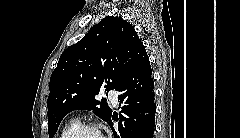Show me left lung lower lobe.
<instances>
[{
    "mask_svg": "<svg viewBox=\"0 0 240 138\" xmlns=\"http://www.w3.org/2000/svg\"><path fill=\"white\" fill-rule=\"evenodd\" d=\"M122 109L118 129L112 120L107 123L112 128L114 138H152L154 134L156 104L154 102V81L149 57L145 47H141L122 84L116 90Z\"/></svg>",
    "mask_w": 240,
    "mask_h": 138,
    "instance_id": "1",
    "label": "left lung lower lobe"
}]
</instances>
